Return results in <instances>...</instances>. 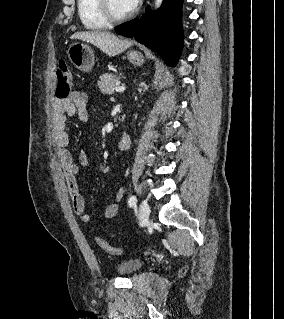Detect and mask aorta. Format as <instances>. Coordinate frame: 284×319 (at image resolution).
<instances>
[{"label": "aorta", "instance_id": "aorta-1", "mask_svg": "<svg viewBox=\"0 0 284 319\" xmlns=\"http://www.w3.org/2000/svg\"><path fill=\"white\" fill-rule=\"evenodd\" d=\"M154 3H155V9H158L162 5L163 0H154Z\"/></svg>", "mask_w": 284, "mask_h": 319}]
</instances>
